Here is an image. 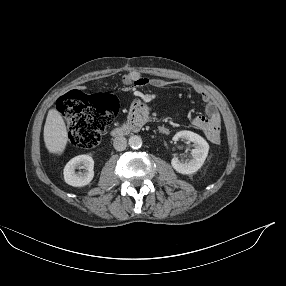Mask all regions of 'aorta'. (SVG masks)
<instances>
[{"label":"aorta","instance_id":"obj_1","mask_svg":"<svg viewBox=\"0 0 286 286\" xmlns=\"http://www.w3.org/2000/svg\"><path fill=\"white\" fill-rule=\"evenodd\" d=\"M129 145L134 149H138L142 146V139L140 136L134 135L129 138Z\"/></svg>","mask_w":286,"mask_h":286}]
</instances>
